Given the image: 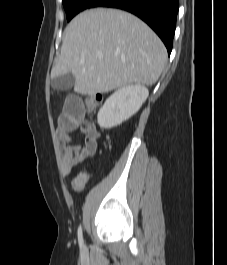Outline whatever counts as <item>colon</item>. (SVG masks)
<instances>
[{
  "label": "colon",
  "instance_id": "obj_1",
  "mask_svg": "<svg viewBox=\"0 0 227 265\" xmlns=\"http://www.w3.org/2000/svg\"><path fill=\"white\" fill-rule=\"evenodd\" d=\"M83 102H85L86 110L91 111L95 109L101 102V97L99 95H90L86 96L83 99Z\"/></svg>",
  "mask_w": 227,
  "mask_h": 265
}]
</instances>
